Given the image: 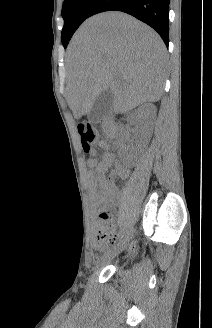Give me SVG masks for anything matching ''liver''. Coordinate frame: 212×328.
I'll return each mask as SVG.
<instances>
[{
	"label": "liver",
	"instance_id": "obj_1",
	"mask_svg": "<svg viewBox=\"0 0 212 328\" xmlns=\"http://www.w3.org/2000/svg\"><path fill=\"white\" fill-rule=\"evenodd\" d=\"M165 63V45L149 26L114 11L90 17L67 50L66 99L74 117L88 113L108 89L115 113L158 101Z\"/></svg>",
	"mask_w": 212,
	"mask_h": 328
}]
</instances>
